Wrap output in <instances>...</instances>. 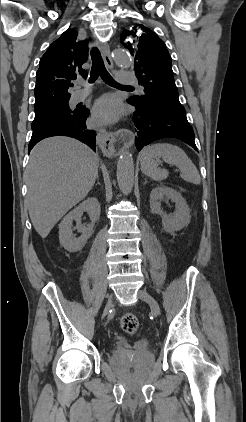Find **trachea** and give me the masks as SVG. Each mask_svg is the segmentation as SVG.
<instances>
[{
	"mask_svg": "<svg viewBox=\"0 0 246 422\" xmlns=\"http://www.w3.org/2000/svg\"><path fill=\"white\" fill-rule=\"evenodd\" d=\"M91 59H92V68H91L89 83H94L97 80V78L100 76L101 79L110 86L129 87V86H124L117 83L112 78V76L106 70L101 54L96 47L92 48L91 50Z\"/></svg>",
	"mask_w": 246,
	"mask_h": 422,
	"instance_id": "3493384b",
	"label": "trachea"
}]
</instances>
